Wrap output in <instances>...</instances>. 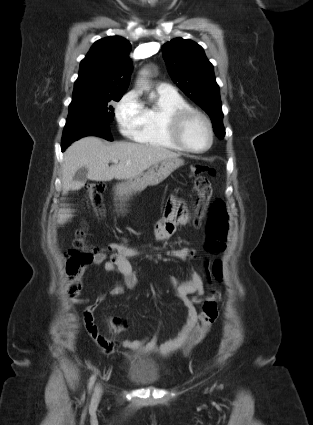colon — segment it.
I'll list each match as a JSON object with an SVG mask.
<instances>
[{
	"instance_id": "1",
	"label": "colon",
	"mask_w": 313,
	"mask_h": 425,
	"mask_svg": "<svg viewBox=\"0 0 313 425\" xmlns=\"http://www.w3.org/2000/svg\"><path fill=\"white\" fill-rule=\"evenodd\" d=\"M194 189L197 193L196 222H199L209 199L212 196V185L205 175L214 176L215 170L204 164L193 165L190 169ZM104 185L100 182L90 183L86 186V192L91 204L97 208L101 206ZM229 219L224 202L216 199L208 209V221L206 227L205 251L210 254L222 253L226 248ZM86 226L83 225L76 231L73 247L66 253V271L68 275V292L71 296H77L82 289V280L88 267L94 261V250L84 244ZM190 257L196 258V251H191ZM202 270L205 283L209 286L208 297L219 302L221 293L213 287V281H220L223 277V263L215 260L209 266L208 260L203 258Z\"/></svg>"
}]
</instances>
